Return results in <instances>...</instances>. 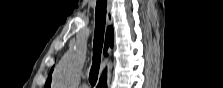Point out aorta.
Wrapping results in <instances>:
<instances>
[{"label": "aorta", "instance_id": "762f6f07", "mask_svg": "<svg viewBox=\"0 0 223 88\" xmlns=\"http://www.w3.org/2000/svg\"><path fill=\"white\" fill-rule=\"evenodd\" d=\"M85 60L84 48L77 44L66 53L57 65L53 75L55 88H74L80 79V71Z\"/></svg>", "mask_w": 223, "mask_h": 88}]
</instances>
